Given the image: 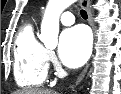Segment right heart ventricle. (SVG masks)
<instances>
[{"mask_svg":"<svg viewBox=\"0 0 121 94\" xmlns=\"http://www.w3.org/2000/svg\"><path fill=\"white\" fill-rule=\"evenodd\" d=\"M47 49L36 38L31 24L19 31L14 45V76L23 88H35L44 84L48 73Z\"/></svg>","mask_w":121,"mask_h":94,"instance_id":"e07e8e85","label":"right heart ventricle"}]
</instances>
